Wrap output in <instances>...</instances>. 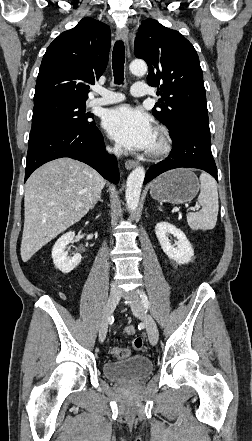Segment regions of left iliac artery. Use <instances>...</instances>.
Here are the masks:
<instances>
[{
	"label": "left iliac artery",
	"instance_id": "1",
	"mask_svg": "<svg viewBox=\"0 0 252 441\" xmlns=\"http://www.w3.org/2000/svg\"><path fill=\"white\" fill-rule=\"evenodd\" d=\"M140 297H141V299H142V302H143V304H144V307H145L146 309H148V308L150 307V303H149V301H148V298H147L146 294H145L144 292H142L141 295H140Z\"/></svg>",
	"mask_w": 252,
	"mask_h": 441
}]
</instances>
